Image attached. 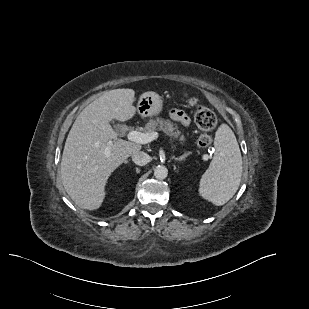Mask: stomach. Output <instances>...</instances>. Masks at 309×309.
Masks as SVG:
<instances>
[{"mask_svg":"<svg viewBox=\"0 0 309 309\" xmlns=\"http://www.w3.org/2000/svg\"><path fill=\"white\" fill-rule=\"evenodd\" d=\"M163 101L155 92L143 93L137 104V111L142 117H149L161 113Z\"/></svg>","mask_w":309,"mask_h":309,"instance_id":"0dacf381","label":"stomach"}]
</instances>
